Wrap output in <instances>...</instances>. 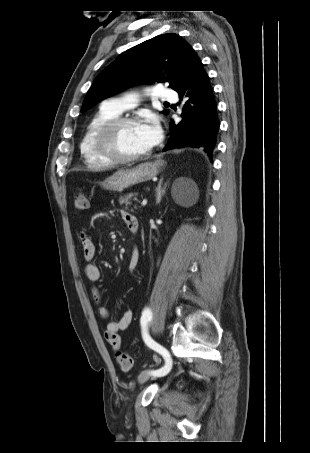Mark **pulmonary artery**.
<instances>
[{
  "label": "pulmonary artery",
  "instance_id": "1",
  "mask_svg": "<svg viewBox=\"0 0 310 453\" xmlns=\"http://www.w3.org/2000/svg\"><path fill=\"white\" fill-rule=\"evenodd\" d=\"M154 94L158 99L162 101H173L177 98L175 91L167 89L164 86L155 87ZM135 102L136 96L131 94L106 101L104 103V106L117 114H121L125 110L133 107L135 105Z\"/></svg>",
  "mask_w": 310,
  "mask_h": 453
}]
</instances>
